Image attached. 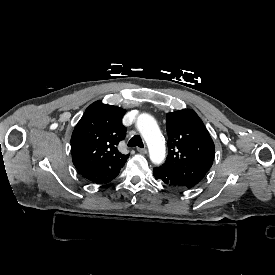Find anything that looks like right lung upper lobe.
<instances>
[{
    "instance_id": "cb5924a9",
    "label": "right lung upper lobe",
    "mask_w": 275,
    "mask_h": 275,
    "mask_svg": "<svg viewBox=\"0 0 275 275\" xmlns=\"http://www.w3.org/2000/svg\"><path fill=\"white\" fill-rule=\"evenodd\" d=\"M125 113L126 110L102 101L86 109L71 137L72 161L80 174L124 166L129 154L120 153L117 146L126 135L122 125Z\"/></svg>"
}]
</instances>
